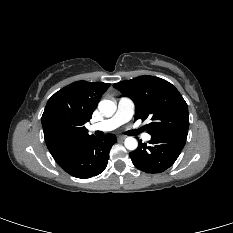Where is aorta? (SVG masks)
<instances>
[{"label": "aorta", "mask_w": 233, "mask_h": 233, "mask_svg": "<svg viewBox=\"0 0 233 233\" xmlns=\"http://www.w3.org/2000/svg\"><path fill=\"white\" fill-rule=\"evenodd\" d=\"M98 109L103 116L111 117L116 112L117 106L111 100H102L98 104ZM124 145L128 150L133 151L138 147V141L133 137H127Z\"/></svg>", "instance_id": "obj_1"}]
</instances>
